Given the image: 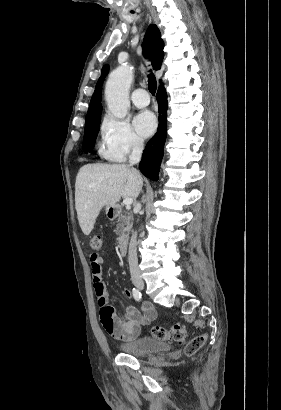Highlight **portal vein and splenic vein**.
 <instances>
[{
	"label": "portal vein and splenic vein",
	"mask_w": 281,
	"mask_h": 410,
	"mask_svg": "<svg viewBox=\"0 0 281 410\" xmlns=\"http://www.w3.org/2000/svg\"><path fill=\"white\" fill-rule=\"evenodd\" d=\"M123 203H124V205L126 206V208H130L131 205H132V203H133V199H131V198H125V199L123 200Z\"/></svg>",
	"instance_id": "1"
}]
</instances>
